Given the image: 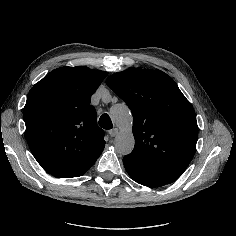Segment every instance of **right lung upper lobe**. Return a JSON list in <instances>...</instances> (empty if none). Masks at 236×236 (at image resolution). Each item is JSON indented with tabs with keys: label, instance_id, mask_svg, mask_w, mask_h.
<instances>
[{
	"label": "right lung upper lobe",
	"instance_id": "1",
	"mask_svg": "<svg viewBox=\"0 0 236 236\" xmlns=\"http://www.w3.org/2000/svg\"><path fill=\"white\" fill-rule=\"evenodd\" d=\"M107 72L85 66L61 67L30 90L23 117L37 162L60 178L83 175L102 153L104 131L90 105Z\"/></svg>",
	"mask_w": 236,
	"mask_h": 236
}]
</instances>
